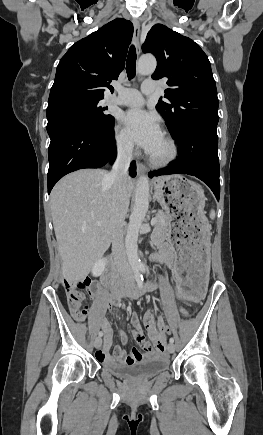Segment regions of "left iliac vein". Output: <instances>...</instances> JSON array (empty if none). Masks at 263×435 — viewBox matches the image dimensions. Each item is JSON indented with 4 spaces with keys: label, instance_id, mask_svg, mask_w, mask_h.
I'll list each match as a JSON object with an SVG mask.
<instances>
[{
    "label": "left iliac vein",
    "instance_id": "obj_1",
    "mask_svg": "<svg viewBox=\"0 0 263 435\" xmlns=\"http://www.w3.org/2000/svg\"><path fill=\"white\" fill-rule=\"evenodd\" d=\"M167 350L170 353H173L175 351V345L173 343H169L168 346H167Z\"/></svg>",
    "mask_w": 263,
    "mask_h": 435
}]
</instances>
